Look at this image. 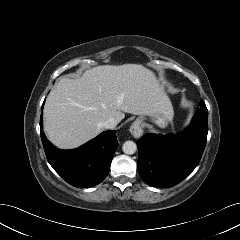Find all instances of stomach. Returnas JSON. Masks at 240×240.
<instances>
[{"instance_id": "obj_1", "label": "stomach", "mask_w": 240, "mask_h": 240, "mask_svg": "<svg viewBox=\"0 0 240 240\" xmlns=\"http://www.w3.org/2000/svg\"><path fill=\"white\" fill-rule=\"evenodd\" d=\"M153 123L161 128H165L171 122L173 118V109L167 111H161L153 115H148ZM139 121L143 122L144 117L138 118Z\"/></svg>"}]
</instances>
